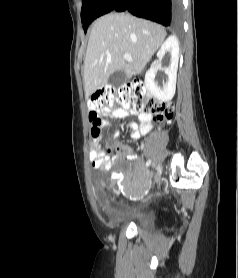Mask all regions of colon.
Returning <instances> with one entry per match:
<instances>
[{
	"label": "colon",
	"mask_w": 238,
	"mask_h": 278,
	"mask_svg": "<svg viewBox=\"0 0 238 278\" xmlns=\"http://www.w3.org/2000/svg\"><path fill=\"white\" fill-rule=\"evenodd\" d=\"M117 106L134 113H148L158 122H168L173 116V107L170 104L156 102L146 90L141 81H134L118 89L106 87L94 93L88 100L89 121L92 125L91 133L94 138L101 134L100 114L104 111H112ZM117 151L109 146L108 153Z\"/></svg>",
	"instance_id": "1"
}]
</instances>
